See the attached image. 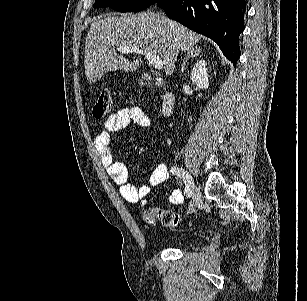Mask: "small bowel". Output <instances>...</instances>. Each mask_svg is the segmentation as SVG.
I'll return each instance as SVG.
<instances>
[{
  "label": "small bowel",
  "instance_id": "obj_1",
  "mask_svg": "<svg viewBox=\"0 0 307 301\" xmlns=\"http://www.w3.org/2000/svg\"><path fill=\"white\" fill-rule=\"evenodd\" d=\"M149 119L145 112L138 106H129L113 112L104 123V130L95 137V148L98 152L102 164L106 167L108 175L119 187L122 197L130 203L140 202L142 205L147 203V196L151 189L165 182L169 177V171L165 164L156 166L148 181L139 187L128 183V172L123 163L113 159L111 147V134L125 129L130 124L140 127H147ZM169 203L179 205L183 202V194L179 189H174L168 197Z\"/></svg>",
  "mask_w": 307,
  "mask_h": 301
}]
</instances>
